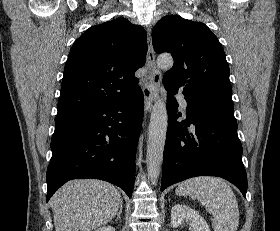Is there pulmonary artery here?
I'll return each instance as SVG.
<instances>
[{"label": "pulmonary artery", "mask_w": 280, "mask_h": 231, "mask_svg": "<svg viewBox=\"0 0 280 231\" xmlns=\"http://www.w3.org/2000/svg\"><path fill=\"white\" fill-rule=\"evenodd\" d=\"M176 99L179 102V105H188L186 99L184 98V96L181 93H178L176 95ZM183 113H188V110H182Z\"/></svg>", "instance_id": "e3ab8cb5"}]
</instances>
